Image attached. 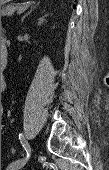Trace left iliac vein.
Masks as SVG:
<instances>
[{"label": "left iliac vein", "mask_w": 109, "mask_h": 170, "mask_svg": "<svg viewBox=\"0 0 109 170\" xmlns=\"http://www.w3.org/2000/svg\"><path fill=\"white\" fill-rule=\"evenodd\" d=\"M32 153L29 152V155H26L22 159L16 160L10 163L7 167V170H19L30 160Z\"/></svg>", "instance_id": "4c4485c4"}]
</instances>
